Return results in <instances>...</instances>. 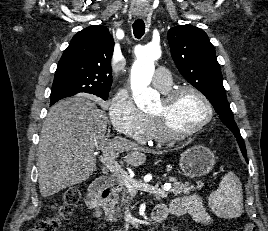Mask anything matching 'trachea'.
Listing matches in <instances>:
<instances>
[{
	"mask_svg": "<svg viewBox=\"0 0 268 231\" xmlns=\"http://www.w3.org/2000/svg\"><path fill=\"white\" fill-rule=\"evenodd\" d=\"M133 32L136 38H141L145 33V23L142 19H137L133 23Z\"/></svg>",
	"mask_w": 268,
	"mask_h": 231,
	"instance_id": "trachea-1",
	"label": "trachea"
}]
</instances>
